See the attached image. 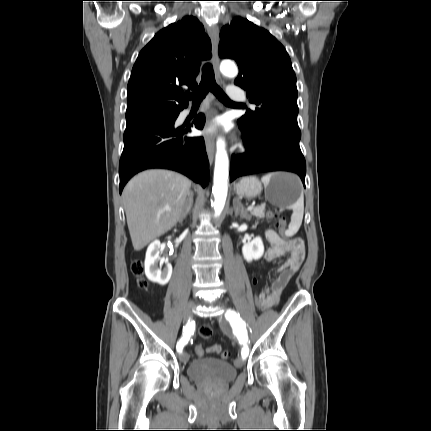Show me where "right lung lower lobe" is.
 <instances>
[{"label": "right lung lower lobe", "mask_w": 431, "mask_h": 431, "mask_svg": "<svg viewBox=\"0 0 431 431\" xmlns=\"http://www.w3.org/2000/svg\"><path fill=\"white\" fill-rule=\"evenodd\" d=\"M179 112L170 116L148 117L127 123L120 158V193L136 173L163 168L178 171L205 187L209 180L208 157L202 137H187L190 124L175 127ZM204 114L191 124L202 129Z\"/></svg>", "instance_id": "98d812e1"}]
</instances>
